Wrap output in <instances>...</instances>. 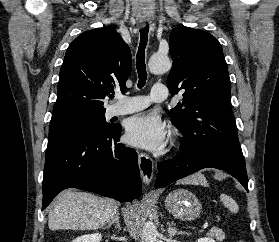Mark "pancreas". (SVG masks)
Instances as JSON below:
<instances>
[{
	"label": "pancreas",
	"instance_id": "obj_1",
	"mask_svg": "<svg viewBox=\"0 0 279 242\" xmlns=\"http://www.w3.org/2000/svg\"><path fill=\"white\" fill-rule=\"evenodd\" d=\"M208 235L215 237L218 240H222L225 237V234L223 233V231L218 228L211 229Z\"/></svg>",
	"mask_w": 279,
	"mask_h": 242
}]
</instances>
